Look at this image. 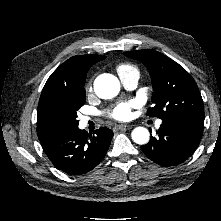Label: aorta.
I'll return each mask as SVG.
<instances>
[{
  "label": "aorta",
  "mask_w": 221,
  "mask_h": 221,
  "mask_svg": "<svg viewBox=\"0 0 221 221\" xmlns=\"http://www.w3.org/2000/svg\"><path fill=\"white\" fill-rule=\"evenodd\" d=\"M96 95L102 99H111L120 91V82L112 74H101L94 81ZM132 140L140 145L149 141L150 133L144 127H136L131 133Z\"/></svg>",
  "instance_id": "762f6f07"
}]
</instances>
